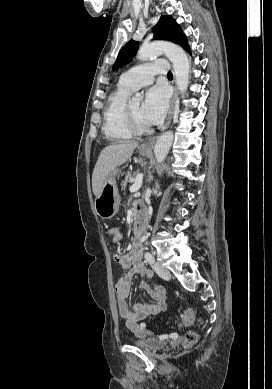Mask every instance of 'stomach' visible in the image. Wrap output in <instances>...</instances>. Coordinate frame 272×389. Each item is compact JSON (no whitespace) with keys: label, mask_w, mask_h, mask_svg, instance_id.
Listing matches in <instances>:
<instances>
[{"label":"stomach","mask_w":272,"mask_h":389,"mask_svg":"<svg viewBox=\"0 0 272 389\" xmlns=\"http://www.w3.org/2000/svg\"><path fill=\"white\" fill-rule=\"evenodd\" d=\"M139 153L142 156H148L150 154V150L140 147ZM120 172V169L115 168L108 174L100 195L95 198V211L97 215L103 219L112 218L119 210L120 196L115 177Z\"/></svg>","instance_id":"1"}]
</instances>
